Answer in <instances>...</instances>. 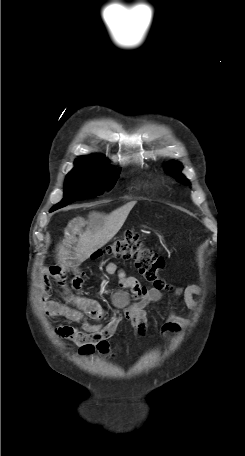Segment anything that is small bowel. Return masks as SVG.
<instances>
[{"mask_svg":"<svg viewBox=\"0 0 245 456\" xmlns=\"http://www.w3.org/2000/svg\"><path fill=\"white\" fill-rule=\"evenodd\" d=\"M82 219L73 220L66 232V241L72 243L78 227L82 224ZM107 274H118V287L113 295L112 311L105 309L98 301L69 295L67 301L70 304L50 300L52 286L48 277L41 283L40 296L43 301L44 314L47 317L63 316L72 321L82 323V330L72 326H60L56 333L61 338L71 340L79 347L83 355H91L95 351L100 354L112 357L109 339L114 335L118 326L124 320L128 321L133 327L135 334L143 337L146 334L148 323L146 307L152 302L161 300L162 293L154 288H145L139 281L132 276H128L120 270L113 262H108L104 266ZM51 277L61 288L66 287V275L60 266H53L50 271ZM87 274L79 272L72 281L74 289H79L86 281ZM202 293L198 285L191 284L184 288H177L176 295L182 296L184 303L191 310L198 308V303L194 299ZM89 320L105 321L103 324H92ZM185 320L171 313L166 323L162 326V333L165 337H171L182 329Z\"/></svg>","mask_w":245,"mask_h":456,"instance_id":"1","label":"small bowel"}]
</instances>
